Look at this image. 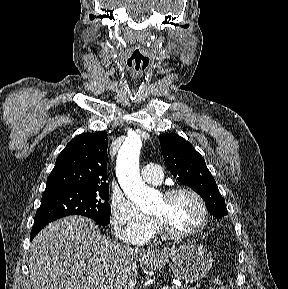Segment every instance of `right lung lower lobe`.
<instances>
[{
    "label": "right lung lower lobe",
    "instance_id": "right-lung-lower-lobe-1",
    "mask_svg": "<svg viewBox=\"0 0 288 289\" xmlns=\"http://www.w3.org/2000/svg\"><path fill=\"white\" fill-rule=\"evenodd\" d=\"M47 224L48 223H40V224L34 225L30 234V240L32 241V239L37 235V233Z\"/></svg>",
    "mask_w": 288,
    "mask_h": 289
}]
</instances>
